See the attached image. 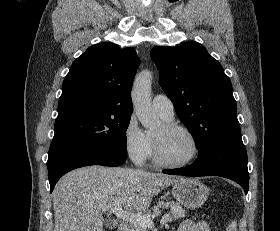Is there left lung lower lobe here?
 <instances>
[{"instance_id": "obj_1", "label": "left lung lower lobe", "mask_w": 280, "mask_h": 231, "mask_svg": "<svg viewBox=\"0 0 280 231\" xmlns=\"http://www.w3.org/2000/svg\"><path fill=\"white\" fill-rule=\"evenodd\" d=\"M165 174L198 176H221L231 179L244 189H249L247 152L241 136L224 139L203 149L193 164L184 168L164 170Z\"/></svg>"}]
</instances>
